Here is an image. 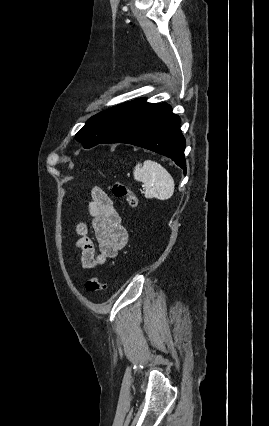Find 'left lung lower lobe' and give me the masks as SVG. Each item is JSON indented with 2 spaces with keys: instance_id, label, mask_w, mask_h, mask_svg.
<instances>
[{
  "instance_id": "left-lung-lower-lobe-1",
  "label": "left lung lower lobe",
  "mask_w": 269,
  "mask_h": 426,
  "mask_svg": "<svg viewBox=\"0 0 269 426\" xmlns=\"http://www.w3.org/2000/svg\"><path fill=\"white\" fill-rule=\"evenodd\" d=\"M180 118L166 103H147L144 98L128 102L109 134L100 142L128 143L170 157L186 174L185 138Z\"/></svg>"
}]
</instances>
